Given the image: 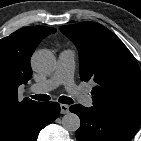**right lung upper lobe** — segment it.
I'll list each match as a JSON object with an SVG mask.
<instances>
[{
  "instance_id": "obj_1",
  "label": "right lung upper lobe",
  "mask_w": 141,
  "mask_h": 141,
  "mask_svg": "<svg viewBox=\"0 0 141 141\" xmlns=\"http://www.w3.org/2000/svg\"><path fill=\"white\" fill-rule=\"evenodd\" d=\"M55 32L50 27H25L0 40V128L37 103L29 98L19 102L18 87L32 77L30 57L37 45Z\"/></svg>"
}]
</instances>
